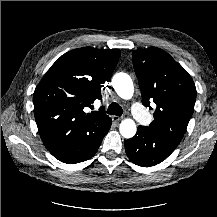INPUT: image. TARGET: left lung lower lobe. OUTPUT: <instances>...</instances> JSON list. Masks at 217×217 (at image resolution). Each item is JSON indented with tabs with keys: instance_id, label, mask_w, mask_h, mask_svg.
<instances>
[{
	"instance_id": "0a47b994",
	"label": "left lung lower lobe",
	"mask_w": 217,
	"mask_h": 217,
	"mask_svg": "<svg viewBox=\"0 0 217 217\" xmlns=\"http://www.w3.org/2000/svg\"><path fill=\"white\" fill-rule=\"evenodd\" d=\"M178 144L147 127L139 126L136 135L125 141V150L131 162L150 167L165 160Z\"/></svg>"
}]
</instances>
